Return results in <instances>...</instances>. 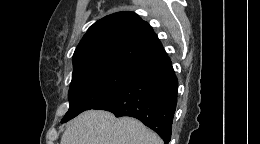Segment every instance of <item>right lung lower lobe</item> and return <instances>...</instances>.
Masks as SVG:
<instances>
[{"label":"right lung lower lobe","mask_w":260,"mask_h":144,"mask_svg":"<svg viewBox=\"0 0 260 144\" xmlns=\"http://www.w3.org/2000/svg\"><path fill=\"white\" fill-rule=\"evenodd\" d=\"M178 81L168 56L145 65L113 95L95 106L116 117L131 116L157 132L165 144L177 103Z\"/></svg>","instance_id":"98d812e1"}]
</instances>
